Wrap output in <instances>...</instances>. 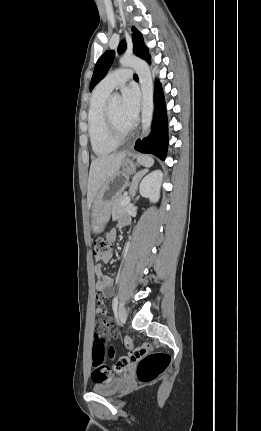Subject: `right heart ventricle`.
Returning <instances> with one entry per match:
<instances>
[{
	"instance_id": "e07e8e85",
	"label": "right heart ventricle",
	"mask_w": 261,
	"mask_h": 431,
	"mask_svg": "<svg viewBox=\"0 0 261 431\" xmlns=\"http://www.w3.org/2000/svg\"><path fill=\"white\" fill-rule=\"evenodd\" d=\"M109 93L96 88L90 101L88 110V133L93 152L98 156H105L117 149L106 132L104 123L105 103Z\"/></svg>"
}]
</instances>
